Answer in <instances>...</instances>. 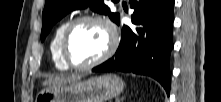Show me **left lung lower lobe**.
Here are the masks:
<instances>
[{"mask_svg": "<svg viewBox=\"0 0 221 102\" xmlns=\"http://www.w3.org/2000/svg\"><path fill=\"white\" fill-rule=\"evenodd\" d=\"M133 26L124 25L115 55L93 72L122 71L156 79L169 95L174 0H130Z\"/></svg>", "mask_w": 221, "mask_h": 102, "instance_id": "1", "label": "left lung lower lobe"}]
</instances>
